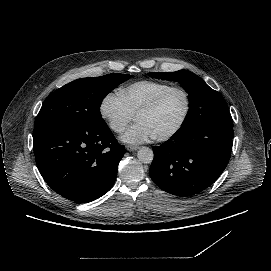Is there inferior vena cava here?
Masks as SVG:
<instances>
[{"label":"inferior vena cava","mask_w":271,"mask_h":271,"mask_svg":"<svg viewBox=\"0 0 271 271\" xmlns=\"http://www.w3.org/2000/svg\"><path fill=\"white\" fill-rule=\"evenodd\" d=\"M123 130V127L121 126V127H119V128H117V131H122Z\"/></svg>","instance_id":"1"}]
</instances>
